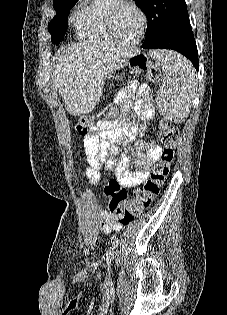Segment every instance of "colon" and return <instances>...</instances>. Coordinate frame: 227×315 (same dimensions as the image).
<instances>
[{
  "label": "colon",
  "mask_w": 227,
  "mask_h": 315,
  "mask_svg": "<svg viewBox=\"0 0 227 315\" xmlns=\"http://www.w3.org/2000/svg\"><path fill=\"white\" fill-rule=\"evenodd\" d=\"M131 67L136 71H147L150 81L154 84L159 83L161 72L146 57H134ZM92 127L93 118L91 116H81L76 122V131L82 136H86ZM160 132L164 145L160 159L153 165L148 179L134 191L132 198H128L127 190L116 179L110 180L105 187V194L109 199L108 210L123 226L131 223L152 204L159 195L175 160V149L179 141L178 129L171 127L166 121H162Z\"/></svg>",
  "instance_id": "5ec220e1"
}]
</instances>
